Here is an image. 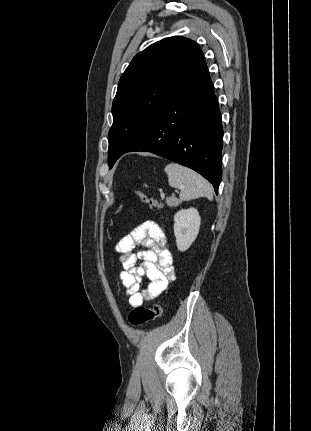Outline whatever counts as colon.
Returning a JSON list of instances; mask_svg holds the SVG:
<instances>
[{"label": "colon", "instance_id": "colon-1", "mask_svg": "<svg viewBox=\"0 0 311 431\" xmlns=\"http://www.w3.org/2000/svg\"><path fill=\"white\" fill-rule=\"evenodd\" d=\"M136 196L146 205L151 208L160 209L161 204L149 197L147 194L141 191H135ZM161 315V306L158 303H155L151 308H146L142 306L135 307L128 316L129 323L132 326H140L143 325Z\"/></svg>", "mask_w": 311, "mask_h": 431}]
</instances>
